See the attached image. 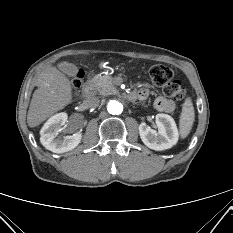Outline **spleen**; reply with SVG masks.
Wrapping results in <instances>:
<instances>
[{"instance_id":"obj_1","label":"spleen","mask_w":233,"mask_h":233,"mask_svg":"<svg viewBox=\"0 0 233 233\" xmlns=\"http://www.w3.org/2000/svg\"><path fill=\"white\" fill-rule=\"evenodd\" d=\"M195 120V112L193 103L187 98L183 104L182 113L179 121L180 134L182 138H186L193 126Z\"/></svg>"}]
</instances>
